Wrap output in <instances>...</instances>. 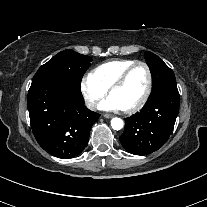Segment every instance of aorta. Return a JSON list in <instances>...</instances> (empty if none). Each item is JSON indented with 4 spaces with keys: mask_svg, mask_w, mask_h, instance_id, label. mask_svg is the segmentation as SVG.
Wrapping results in <instances>:
<instances>
[{
    "mask_svg": "<svg viewBox=\"0 0 207 207\" xmlns=\"http://www.w3.org/2000/svg\"><path fill=\"white\" fill-rule=\"evenodd\" d=\"M111 126L114 130H121L124 126V122L121 118L115 117L111 120Z\"/></svg>",
    "mask_w": 207,
    "mask_h": 207,
    "instance_id": "1",
    "label": "aorta"
}]
</instances>
